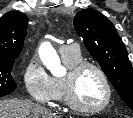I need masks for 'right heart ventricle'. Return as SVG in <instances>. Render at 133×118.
<instances>
[{
    "mask_svg": "<svg viewBox=\"0 0 133 118\" xmlns=\"http://www.w3.org/2000/svg\"><path fill=\"white\" fill-rule=\"evenodd\" d=\"M62 60L69 69L82 62L80 52L74 55H64L62 56ZM63 78L64 77L53 78L54 99L58 101H64Z\"/></svg>",
    "mask_w": 133,
    "mask_h": 118,
    "instance_id": "1",
    "label": "right heart ventricle"
}]
</instances>
